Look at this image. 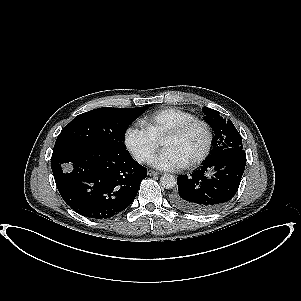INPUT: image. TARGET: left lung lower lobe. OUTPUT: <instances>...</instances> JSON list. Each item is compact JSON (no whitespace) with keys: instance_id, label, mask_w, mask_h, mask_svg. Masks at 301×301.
Wrapping results in <instances>:
<instances>
[{"instance_id":"1","label":"left lung lower lobe","mask_w":301,"mask_h":301,"mask_svg":"<svg viewBox=\"0 0 301 301\" xmlns=\"http://www.w3.org/2000/svg\"><path fill=\"white\" fill-rule=\"evenodd\" d=\"M242 147L229 148L205 160L191 176H179L171 203L184 211L210 213L225 206L236 194L245 169Z\"/></svg>"}]
</instances>
